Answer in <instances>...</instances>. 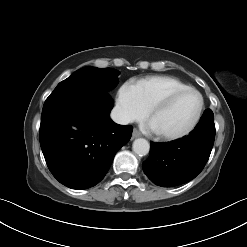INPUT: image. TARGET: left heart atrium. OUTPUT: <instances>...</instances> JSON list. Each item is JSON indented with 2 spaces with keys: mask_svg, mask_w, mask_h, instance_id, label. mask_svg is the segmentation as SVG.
<instances>
[{
  "mask_svg": "<svg viewBox=\"0 0 247 247\" xmlns=\"http://www.w3.org/2000/svg\"><path fill=\"white\" fill-rule=\"evenodd\" d=\"M149 128L152 129V130H154L150 123H149Z\"/></svg>",
  "mask_w": 247,
  "mask_h": 247,
  "instance_id": "left-heart-atrium-1",
  "label": "left heart atrium"
}]
</instances>
